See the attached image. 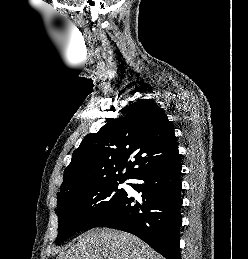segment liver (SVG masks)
<instances>
[{
	"instance_id": "obj_1",
	"label": "liver",
	"mask_w": 248,
	"mask_h": 259,
	"mask_svg": "<svg viewBox=\"0 0 248 259\" xmlns=\"http://www.w3.org/2000/svg\"><path fill=\"white\" fill-rule=\"evenodd\" d=\"M56 259H164L136 236L113 229H94L62 250Z\"/></svg>"
}]
</instances>
